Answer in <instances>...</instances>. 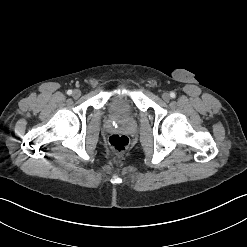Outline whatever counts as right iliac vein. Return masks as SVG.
<instances>
[{"label":"right iliac vein","instance_id":"63e3f726","mask_svg":"<svg viewBox=\"0 0 247 247\" xmlns=\"http://www.w3.org/2000/svg\"><path fill=\"white\" fill-rule=\"evenodd\" d=\"M72 96H73L74 98H79V97L81 96V91L78 90V89H75V90L73 91V93H72Z\"/></svg>","mask_w":247,"mask_h":247}]
</instances>
